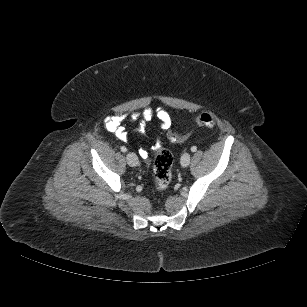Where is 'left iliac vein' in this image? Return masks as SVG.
Masks as SVG:
<instances>
[{
	"label": "left iliac vein",
	"mask_w": 307,
	"mask_h": 307,
	"mask_svg": "<svg viewBox=\"0 0 307 307\" xmlns=\"http://www.w3.org/2000/svg\"><path fill=\"white\" fill-rule=\"evenodd\" d=\"M190 160H191V156L189 153H184L182 156H181V165L183 167H187L190 163Z\"/></svg>",
	"instance_id": "left-iliac-vein-1"
}]
</instances>
